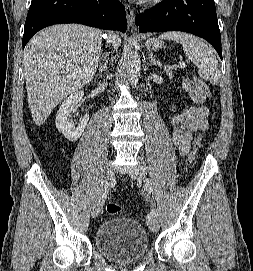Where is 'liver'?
I'll list each match as a JSON object with an SVG mask.
<instances>
[{
  "label": "liver",
  "instance_id": "liver-1",
  "mask_svg": "<svg viewBox=\"0 0 253 271\" xmlns=\"http://www.w3.org/2000/svg\"><path fill=\"white\" fill-rule=\"evenodd\" d=\"M107 41L121 44L116 33ZM102 32L80 24H60L35 35L23 55L28 104L33 121L41 126L68 95L90 83L98 67Z\"/></svg>",
  "mask_w": 253,
  "mask_h": 271
}]
</instances>
